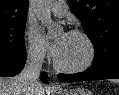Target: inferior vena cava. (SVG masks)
Segmentation results:
<instances>
[{"instance_id":"602c4592","label":"inferior vena cava","mask_w":119,"mask_h":95,"mask_svg":"<svg viewBox=\"0 0 119 95\" xmlns=\"http://www.w3.org/2000/svg\"><path fill=\"white\" fill-rule=\"evenodd\" d=\"M43 61L44 55L39 52H31L27 56L25 67L18 76V81L28 92H33L39 83L38 78L40 77Z\"/></svg>"}]
</instances>
